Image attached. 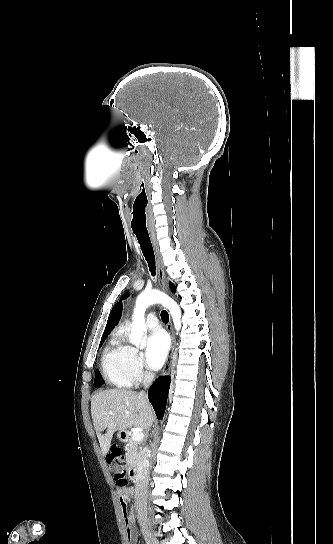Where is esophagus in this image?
<instances>
[{"label": "esophagus", "mask_w": 333, "mask_h": 544, "mask_svg": "<svg viewBox=\"0 0 333 544\" xmlns=\"http://www.w3.org/2000/svg\"><path fill=\"white\" fill-rule=\"evenodd\" d=\"M151 241H152V245H153L155 255H156L157 272H158V276H159V280H160V285H161L162 289H164L165 291H168V283H167V277H166L164 265H163L162 259L160 257L159 251L157 249L156 240H155L154 236H151ZM167 329H168V331H169V333L171 335L172 344H171L170 353H169V355H168V357L166 359L165 366H164V369H163V374L164 375H166V374H168L170 372L171 364H172V358H173V354H174V347H175L174 346V333H173V327H172L171 319L169 320V323L167 325Z\"/></svg>", "instance_id": "esophagus-1"}]
</instances>
